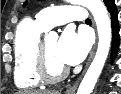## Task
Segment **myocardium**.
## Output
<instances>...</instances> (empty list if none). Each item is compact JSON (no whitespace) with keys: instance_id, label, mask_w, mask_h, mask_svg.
<instances>
[{"instance_id":"obj_1","label":"myocardium","mask_w":121,"mask_h":94,"mask_svg":"<svg viewBox=\"0 0 121 94\" xmlns=\"http://www.w3.org/2000/svg\"><path fill=\"white\" fill-rule=\"evenodd\" d=\"M35 69L37 76L44 83H56L63 80L69 72L67 67L60 69L58 72H52L48 65L47 54L45 50L44 41H39L36 50Z\"/></svg>"}]
</instances>
